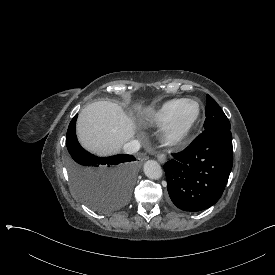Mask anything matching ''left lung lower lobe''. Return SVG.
Masks as SVG:
<instances>
[{
	"mask_svg": "<svg viewBox=\"0 0 275 275\" xmlns=\"http://www.w3.org/2000/svg\"><path fill=\"white\" fill-rule=\"evenodd\" d=\"M173 157L164 164L172 202L183 211L209 208L220 199L232 169L230 128L204 131Z\"/></svg>",
	"mask_w": 275,
	"mask_h": 275,
	"instance_id": "obj_1",
	"label": "left lung lower lobe"
}]
</instances>
